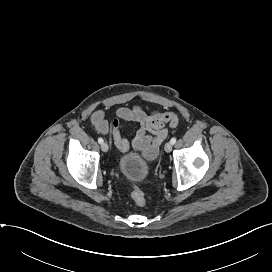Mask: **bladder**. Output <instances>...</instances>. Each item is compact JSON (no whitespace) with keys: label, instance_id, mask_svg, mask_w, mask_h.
<instances>
[{"label":"bladder","instance_id":"31cf9c89","mask_svg":"<svg viewBox=\"0 0 272 272\" xmlns=\"http://www.w3.org/2000/svg\"><path fill=\"white\" fill-rule=\"evenodd\" d=\"M120 172L130 181H142L149 174L148 163L137 153L129 152L118 161Z\"/></svg>","mask_w":272,"mask_h":272}]
</instances>
